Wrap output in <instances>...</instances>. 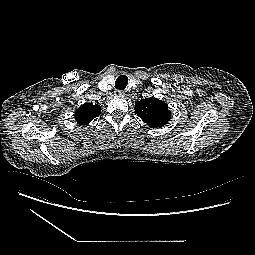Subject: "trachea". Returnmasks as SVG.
I'll list each match as a JSON object with an SVG mask.
<instances>
[{
	"instance_id": "1",
	"label": "trachea",
	"mask_w": 255,
	"mask_h": 255,
	"mask_svg": "<svg viewBox=\"0 0 255 255\" xmlns=\"http://www.w3.org/2000/svg\"><path fill=\"white\" fill-rule=\"evenodd\" d=\"M128 84V78L125 75H120L115 81V88L119 90H123L126 88Z\"/></svg>"
}]
</instances>
